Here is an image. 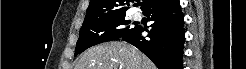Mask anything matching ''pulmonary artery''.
Returning a JSON list of instances; mask_svg holds the SVG:
<instances>
[{
	"label": "pulmonary artery",
	"instance_id": "e3ab8cb5",
	"mask_svg": "<svg viewBox=\"0 0 246 69\" xmlns=\"http://www.w3.org/2000/svg\"><path fill=\"white\" fill-rule=\"evenodd\" d=\"M133 16L135 19H140L141 14L139 12H135Z\"/></svg>",
	"mask_w": 246,
	"mask_h": 69
}]
</instances>
